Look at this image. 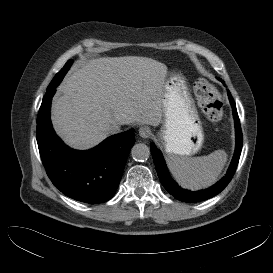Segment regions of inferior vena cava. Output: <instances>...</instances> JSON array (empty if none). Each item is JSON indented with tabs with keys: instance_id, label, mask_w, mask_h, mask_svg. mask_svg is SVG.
Here are the masks:
<instances>
[{
	"instance_id": "obj_1",
	"label": "inferior vena cava",
	"mask_w": 273,
	"mask_h": 273,
	"mask_svg": "<svg viewBox=\"0 0 273 273\" xmlns=\"http://www.w3.org/2000/svg\"><path fill=\"white\" fill-rule=\"evenodd\" d=\"M119 130H120L119 125L118 124H113L109 128V133L110 134H115V133L119 132Z\"/></svg>"
}]
</instances>
